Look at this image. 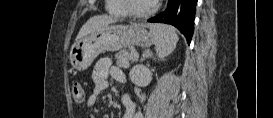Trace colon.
<instances>
[{
	"mask_svg": "<svg viewBox=\"0 0 273 118\" xmlns=\"http://www.w3.org/2000/svg\"><path fill=\"white\" fill-rule=\"evenodd\" d=\"M72 98L76 103H82L84 101L85 93L80 82H75L72 85Z\"/></svg>",
	"mask_w": 273,
	"mask_h": 118,
	"instance_id": "obj_1",
	"label": "colon"
}]
</instances>
